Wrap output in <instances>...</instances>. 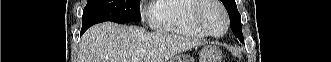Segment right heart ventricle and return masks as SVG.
Listing matches in <instances>:
<instances>
[{
	"mask_svg": "<svg viewBox=\"0 0 331 62\" xmlns=\"http://www.w3.org/2000/svg\"><path fill=\"white\" fill-rule=\"evenodd\" d=\"M195 0H159L152 10V19L162 31L193 39L206 37L191 20Z\"/></svg>",
	"mask_w": 331,
	"mask_h": 62,
	"instance_id": "obj_1",
	"label": "right heart ventricle"
}]
</instances>
